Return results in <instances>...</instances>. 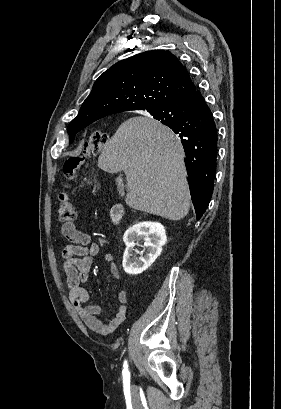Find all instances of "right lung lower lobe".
<instances>
[{
	"instance_id": "obj_1",
	"label": "right lung lower lobe",
	"mask_w": 281,
	"mask_h": 409,
	"mask_svg": "<svg viewBox=\"0 0 281 409\" xmlns=\"http://www.w3.org/2000/svg\"><path fill=\"white\" fill-rule=\"evenodd\" d=\"M149 113L155 119L171 118L166 126L181 139L191 198L199 220L209 205L216 170L218 134L212 113L198 90L177 103Z\"/></svg>"
}]
</instances>
